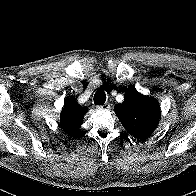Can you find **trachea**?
Instances as JSON below:
<instances>
[{
  "label": "trachea",
  "instance_id": "1",
  "mask_svg": "<svg viewBox=\"0 0 196 196\" xmlns=\"http://www.w3.org/2000/svg\"><path fill=\"white\" fill-rule=\"evenodd\" d=\"M94 103L97 105H102L105 103L106 101V94L103 90L99 89L96 91V93L94 94Z\"/></svg>",
  "mask_w": 196,
  "mask_h": 196
}]
</instances>
